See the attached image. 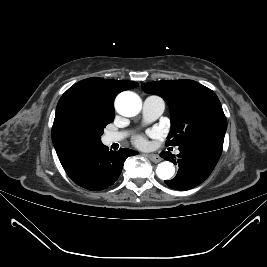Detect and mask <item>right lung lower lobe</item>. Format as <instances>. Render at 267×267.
<instances>
[{
    "label": "right lung lower lobe",
    "mask_w": 267,
    "mask_h": 267,
    "mask_svg": "<svg viewBox=\"0 0 267 267\" xmlns=\"http://www.w3.org/2000/svg\"><path fill=\"white\" fill-rule=\"evenodd\" d=\"M136 154L124 148L109 151L100 142L70 151L59 159L73 182L87 190L100 191L114 184L126 158Z\"/></svg>",
    "instance_id": "obj_1"
}]
</instances>
